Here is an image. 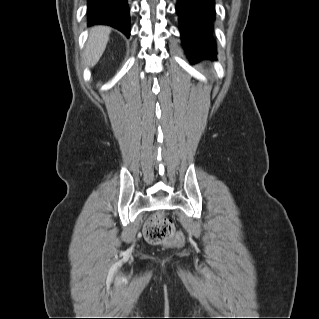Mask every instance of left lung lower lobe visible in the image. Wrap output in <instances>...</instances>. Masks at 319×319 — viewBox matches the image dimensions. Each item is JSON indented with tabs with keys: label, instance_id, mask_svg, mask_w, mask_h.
I'll use <instances>...</instances> for the list:
<instances>
[{
	"label": "left lung lower lobe",
	"instance_id": "1",
	"mask_svg": "<svg viewBox=\"0 0 319 319\" xmlns=\"http://www.w3.org/2000/svg\"><path fill=\"white\" fill-rule=\"evenodd\" d=\"M215 0H177L183 48L191 61L216 58L217 46L212 35Z\"/></svg>",
	"mask_w": 319,
	"mask_h": 319
}]
</instances>
